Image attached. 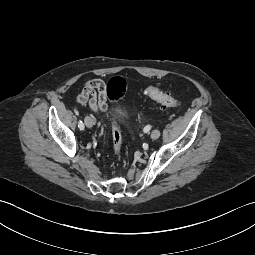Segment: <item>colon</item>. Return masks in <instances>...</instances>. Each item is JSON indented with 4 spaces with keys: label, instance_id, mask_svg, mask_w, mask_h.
Masks as SVG:
<instances>
[{
    "label": "colon",
    "instance_id": "colon-1",
    "mask_svg": "<svg viewBox=\"0 0 255 255\" xmlns=\"http://www.w3.org/2000/svg\"><path fill=\"white\" fill-rule=\"evenodd\" d=\"M126 89L127 81L120 76L111 78L107 84L108 95L114 101L120 99L124 95ZM145 94L152 100L160 103L163 107H176L181 104L180 100L161 91L156 86L147 87L145 89ZM112 142L114 153L119 157L122 151V136L116 121H113L112 124Z\"/></svg>",
    "mask_w": 255,
    "mask_h": 255
}]
</instances>
